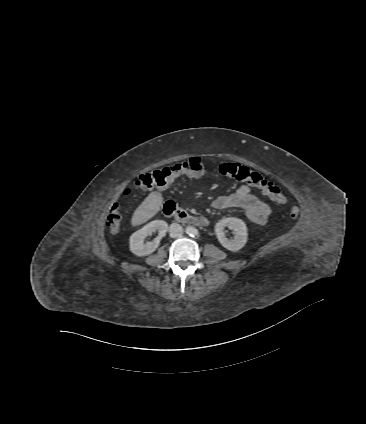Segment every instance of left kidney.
I'll return each instance as SVG.
<instances>
[{
  "label": "left kidney",
  "mask_w": 366,
  "mask_h": 424,
  "mask_svg": "<svg viewBox=\"0 0 366 424\" xmlns=\"http://www.w3.org/2000/svg\"><path fill=\"white\" fill-rule=\"evenodd\" d=\"M225 227L234 230L235 236L233 239L226 238ZM215 233L220 244L224 248L234 252L244 247L248 239L246 224L241 219L235 217L224 218L217 222Z\"/></svg>",
  "instance_id": "5707ae66"
}]
</instances>
